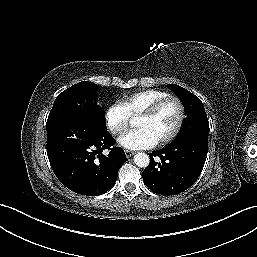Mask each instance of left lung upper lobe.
Returning <instances> with one entry per match:
<instances>
[{"instance_id":"left-lung-upper-lobe-1","label":"left lung upper lobe","mask_w":257,"mask_h":257,"mask_svg":"<svg viewBox=\"0 0 257 257\" xmlns=\"http://www.w3.org/2000/svg\"><path fill=\"white\" fill-rule=\"evenodd\" d=\"M167 86L180 98L186 113L181 129L171 144L186 140L208 142L209 122L202 102L197 96L179 85L168 84Z\"/></svg>"}]
</instances>
